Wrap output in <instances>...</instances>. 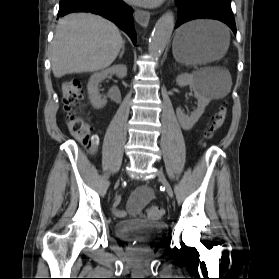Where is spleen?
Masks as SVG:
<instances>
[{
  "label": "spleen",
  "instance_id": "obj_1",
  "mask_svg": "<svg viewBox=\"0 0 279 279\" xmlns=\"http://www.w3.org/2000/svg\"><path fill=\"white\" fill-rule=\"evenodd\" d=\"M202 73H203L202 71H199L195 75L200 77L201 89L205 95H208L212 98H223L230 92L232 81L229 74H226V81L222 82L219 79H215V80H210L209 78L205 79L202 77Z\"/></svg>",
  "mask_w": 279,
  "mask_h": 279
}]
</instances>
